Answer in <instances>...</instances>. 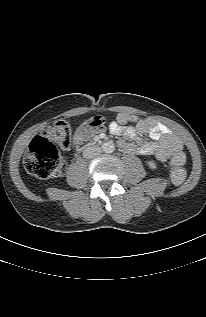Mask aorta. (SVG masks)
I'll return each mask as SVG.
<instances>
[{
	"label": "aorta",
	"instance_id": "762f6f07",
	"mask_svg": "<svg viewBox=\"0 0 206 317\" xmlns=\"http://www.w3.org/2000/svg\"><path fill=\"white\" fill-rule=\"evenodd\" d=\"M102 150L105 153H112L115 150V146L114 143L111 141H107L105 143L102 144Z\"/></svg>",
	"mask_w": 206,
	"mask_h": 317
}]
</instances>
